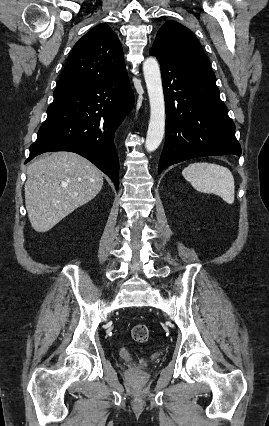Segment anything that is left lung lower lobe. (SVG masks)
I'll use <instances>...</instances> for the list:
<instances>
[{
	"label": "left lung lower lobe",
	"instance_id": "left-lung-lower-lobe-1",
	"mask_svg": "<svg viewBox=\"0 0 269 426\" xmlns=\"http://www.w3.org/2000/svg\"><path fill=\"white\" fill-rule=\"evenodd\" d=\"M162 72L166 104V140L158 173L202 156L241 155L235 125L221 101L212 70L150 49Z\"/></svg>",
	"mask_w": 269,
	"mask_h": 426
}]
</instances>
